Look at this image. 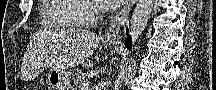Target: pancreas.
I'll return each mask as SVG.
<instances>
[{
	"instance_id": "pancreas-1",
	"label": "pancreas",
	"mask_w": 216,
	"mask_h": 90,
	"mask_svg": "<svg viewBox=\"0 0 216 90\" xmlns=\"http://www.w3.org/2000/svg\"><path fill=\"white\" fill-rule=\"evenodd\" d=\"M72 80L73 84H75V86H78L80 80H86V74H83L82 70H78L76 74H73Z\"/></svg>"
}]
</instances>
